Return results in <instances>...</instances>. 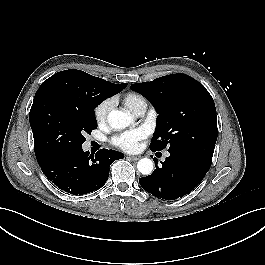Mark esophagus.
Returning a JSON list of instances; mask_svg holds the SVG:
<instances>
[{
    "instance_id": "esophagus-1",
    "label": "esophagus",
    "mask_w": 265,
    "mask_h": 265,
    "mask_svg": "<svg viewBox=\"0 0 265 265\" xmlns=\"http://www.w3.org/2000/svg\"><path fill=\"white\" fill-rule=\"evenodd\" d=\"M127 158L133 161H137L140 159V156H128Z\"/></svg>"
}]
</instances>
